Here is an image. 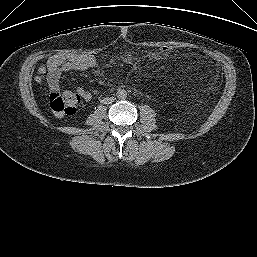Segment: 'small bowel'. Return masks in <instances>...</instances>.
I'll return each instance as SVG.
<instances>
[{
	"instance_id": "c3829d8e",
	"label": "small bowel",
	"mask_w": 257,
	"mask_h": 257,
	"mask_svg": "<svg viewBox=\"0 0 257 257\" xmlns=\"http://www.w3.org/2000/svg\"><path fill=\"white\" fill-rule=\"evenodd\" d=\"M96 65L97 59L92 54H53L45 58L39 67L35 80L38 83L46 80L50 91H58L60 78L63 73L70 71H86L94 68ZM77 91L84 100L91 98V94L87 90L79 87Z\"/></svg>"
}]
</instances>
